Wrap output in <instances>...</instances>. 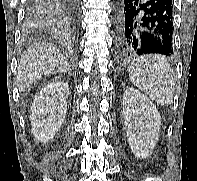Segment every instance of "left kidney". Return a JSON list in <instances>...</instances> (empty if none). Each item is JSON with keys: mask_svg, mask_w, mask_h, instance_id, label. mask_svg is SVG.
Listing matches in <instances>:
<instances>
[{"mask_svg": "<svg viewBox=\"0 0 197 181\" xmlns=\"http://www.w3.org/2000/svg\"><path fill=\"white\" fill-rule=\"evenodd\" d=\"M122 104L130 148L136 157L147 158L158 141L161 116L153 102L132 87L126 89Z\"/></svg>", "mask_w": 197, "mask_h": 181, "instance_id": "5707ae66", "label": "left kidney"}]
</instances>
